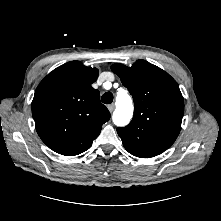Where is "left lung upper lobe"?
I'll return each instance as SVG.
<instances>
[{
  "label": "left lung upper lobe",
  "mask_w": 221,
  "mask_h": 221,
  "mask_svg": "<svg viewBox=\"0 0 221 221\" xmlns=\"http://www.w3.org/2000/svg\"><path fill=\"white\" fill-rule=\"evenodd\" d=\"M111 70L134 99L132 121L117 128L125 149L141 158L161 154L174 143L181 129L184 101L178 84L145 60H138L131 67L116 63Z\"/></svg>",
  "instance_id": "5c2ea615"
}]
</instances>
